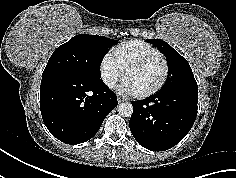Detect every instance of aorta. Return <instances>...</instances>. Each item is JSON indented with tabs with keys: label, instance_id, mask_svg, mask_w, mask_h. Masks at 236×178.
<instances>
[{
	"label": "aorta",
	"instance_id": "762f6f07",
	"mask_svg": "<svg viewBox=\"0 0 236 178\" xmlns=\"http://www.w3.org/2000/svg\"><path fill=\"white\" fill-rule=\"evenodd\" d=\"M117 110L119 115L123 117H130L133 113V106L129 102H122L118 104Z\"/></svg>",
	"mask_w": 236,
	"mask_h": 178
}]
</instances>
